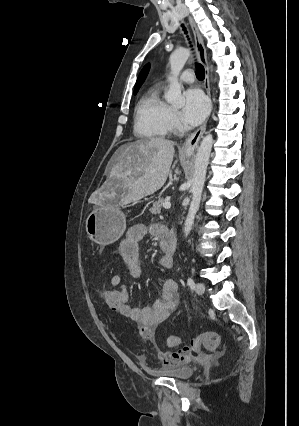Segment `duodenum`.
<instances>
[{"instance_id":"duodenum-1","label":"duodenum","mask_w":299,"mask_h":426,"mask_svg":"<svg viewBox=\"0 0 299 426\" xmlns=\"http://www.w3.org/2000/svg\"><path fill=\"white\" fill-rule=\"evenodd\" d=\"M176 236L174 232L171 230L164 228L161 232L160 236V246L163 252L169 256L173 257L175 251H176Z\"/></svg>"}]
</instances>
